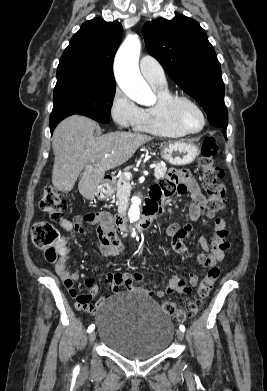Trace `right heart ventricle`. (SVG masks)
<instances>
[{"mask_svg": "<svg viewBox=\"0 0 267 391\" xmlns=\"http://www.w3.org/2000/svg\"><path fill=\"white\" fill-rule=\"evenodd\" d=\"M157 94V103L141 109V117L135 130L160 137L178 138L186 133L172 123L163 109V102L172 94L167 87H153Z\"/></svg>", "mask_w": 267, "mask_h": 391, "instance_id": "obj_1", "label": "right heart ventricle"}]
</instances>
